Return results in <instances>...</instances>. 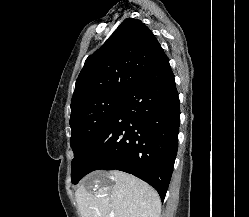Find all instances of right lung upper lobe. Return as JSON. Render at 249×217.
<instances>
[{
	"mask_svg": "<svg viewBox=\"0 0 249 217\" xmlns=\"http://www.w3.org/2000/svg\"><path fill=\"white\" fill-rule=\"evenodd\" d=\"M164 55L144 23L125 19L85 61L75 84L71 110L99 96L126 95Z\"/></svg>",
	"mask_w": 249,
	"mask_h": 217,
	"instance_id": "right-lung-upper-lobe-1",
	"label": "right lung upper lobe"
}]
</instances>
